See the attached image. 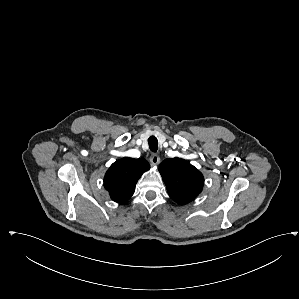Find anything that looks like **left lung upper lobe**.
<instances>
[{"label":"left lung upper lobe","mask_w":299,"mask_h":299,"mask_svg":"<svg viewBox=\"0 0 299 299\" xmlns=\"http://www.w3.org/2000/svg\"><path fill=\"white\" fill-rule=\"evenodd\" d=\"M159 171L169 196L180 205L191 202L202 191V173L184 159H165L160 164Z\"/></svg>","instance_id":"1"}]
</instances>
